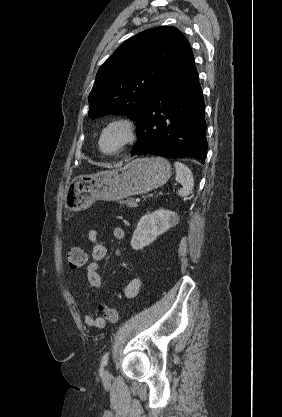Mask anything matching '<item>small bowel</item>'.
I'll use <instances>...</instances> for the list:
<instances>
[{
    "label": "small bowel",
    "mask_w": 282,
    "mask_h": 417,
    "mask_svg": "<svg viewBox=\"0 0 282 417\" xmlns=\"http://www.w3.org/2000/svg\"><path fill=\"white\" fill-rule=\"evenodd\" d=\"M112 235L116 240L122 241L125 239V230L116 226L113 228ZM88 240L92 244L91 250V261L87 265L86 270V281L84 288L89 289H99L104 285L105 278L100 273L101 262L106 257L107 248L104 243L99 239L98 233L96 230L91 229L87 234ZM120 254V250L116 251V255ZM141 288V280L139 278H133L129 281L124 289V296L127 299H132L136 297ZM85 324L92 328H103L106 325V322L103 321L102 316H96L93 314H86L84 317Z\"/></svg>",
    "instance_id": "1"
}]
</instances>
